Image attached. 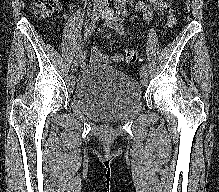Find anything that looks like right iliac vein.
Masks as SVG:
<instances>
[{
    "label": "right iliac vein",
    "instance_id": "right-iliac-vein-1",
    "mask_svg": "<svg viewBox=\"0 0 219 192\" xmlns=\"http://www.w3.org/2000/svg\"><path fill=\"white\" fill-rule=\"evenodd\" d=\"M101 10L99 8L95 9L91 14V23H95L100 15ZM81 59L77 58L75 59L71 64V70L72 72H75L78 69L79 61Z\"/></svg>",
    "mask_w": 219,
    "mask_h": 192
}]
</instances>
